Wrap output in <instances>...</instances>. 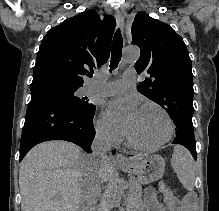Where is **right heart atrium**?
Instances as JSON below:
<instances>
[{
	"mask_svg": "<svg viewBox=\"0 0 219 211\" xmlns=\"http://www.w3.org/2000/svg\"><path fill=\"white\" fill-rule=\"evenodd\" d=\"M95 127L98 138L107 144H118L122 139L121 128L103 115L97 118Z\"/></svg>",
	"mask_w": 219,
	"mask_h": 211,
	"instance_id": "obj_1",
	"label": "right heart atrium"
}]
</instances>
